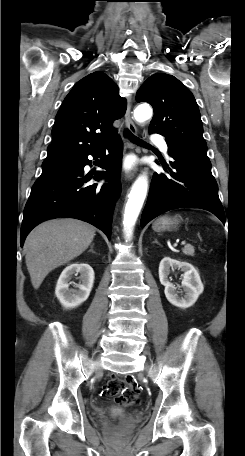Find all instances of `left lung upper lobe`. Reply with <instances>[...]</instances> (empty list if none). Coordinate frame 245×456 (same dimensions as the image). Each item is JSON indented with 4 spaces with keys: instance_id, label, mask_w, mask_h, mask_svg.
I'll return each mask as SVG.
<instances>
[{
    "instance_id": "5c2ea615",
    "label": "left lung upper lobe",
    "mask_w": 245,
    "mask_h": 456,
    "mask_svg": "<svg viewBox=\"0 0 245 456\" xmlns=\"http://www.w3.org/2000/svg\"><path fill=\"white\" fill-rule=\"evenodd\" d=\"M136 101L153 107L150 133L161 134L171 145L209 159L198 105L177 78L164 73L150 76L138 90Z\"/></svg>"
}]
</instances>
